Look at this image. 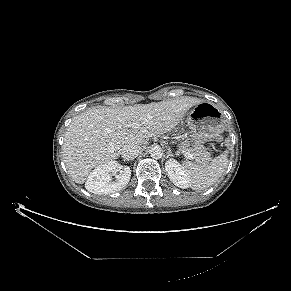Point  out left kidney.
Masks as SVG:
<instances>
[{
  "instance_id": "obj_1",
  "label": "left kidney",
  "mask_w": 291,
  "mask_h": 291,
  "mask_svg": "<svg viewBox=\"0 0 291 291\" xmlns=\"http://www.w3.org/2000/svg\"><path fill=\"white\" fill-rule=\"evenodd\" d=\"M165 170L170 180L178 187L186 189L190 186L188 171L175 159H169L165 163Z\"/></svg>"
}]
</instances>
